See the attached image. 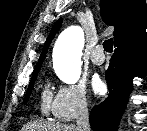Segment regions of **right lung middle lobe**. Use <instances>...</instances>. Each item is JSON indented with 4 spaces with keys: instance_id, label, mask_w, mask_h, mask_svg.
Returning a JSON list of instances; mask_svg holds the SVG:
<instances>
[{
    "instance_id": "obj_1",
    "label": "right lung middle lobe",
    "mask_w": 147,
    "mask_h": 131,
    "mask_svg": "<svg viewBox=\"0 0 147 131\" xmlns=\"http://www.w3.org/2000/svg\"><path fill=\"white\" fill-rule=\"evenodd\" d=\"M37 74H38V71L34 72L33 75H32L31 82L29 83L28 90H27L26 96L24 98L25 103L27 102V100H28V98H29V96L31 94V91H32V88H33V83L36 80Z\"/></svg>"
}]
</instances>
